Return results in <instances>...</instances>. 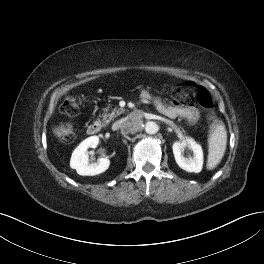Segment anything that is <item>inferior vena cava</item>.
<instances>
[{"label": "inferior vena cava", "instance_id": "obj_1", "mask_svg": "<svg viewBox=\"0 0 264 264\" xmlns=\"http://www.w3.org/2000/svg\"><path fill=\"white\" fill-rule=\"evenodd\" d=\"M125 122V120H121V121H114L113 122V126H112V130H117V129H121L122 124Z\"/></svg>", "mask_w": 264, "mask_h": 264}]
</instances>
